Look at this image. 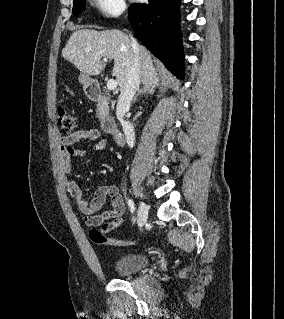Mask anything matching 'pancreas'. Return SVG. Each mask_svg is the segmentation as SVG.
Returning a JSON list of instances; mask_svg holds the SVG:
<instances>
[{"mask_svg": "<svg viewBox=\"0 0 284 319\" xmlns=\"http://www.w3.org/2000/svg\"><path fill=\"white\" fill-rule=\"evenodd\" d=\"M108 111L109 110L107 105L98 104L96 110V117L99 119H103L108 114Z\"/></svg>", "mask_w": 284, "mask_h": 319, "instance_id": "pancreas-1", "label": "pancreas"}]
</instances>
